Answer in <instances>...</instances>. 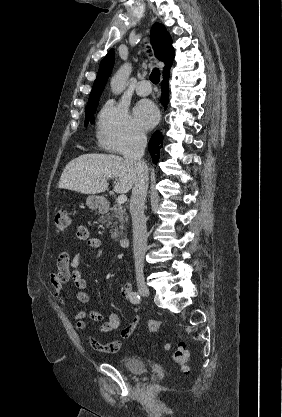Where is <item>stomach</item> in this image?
Instances as JSON below:
<instances>
[{"label":"stomach","mask_w":282,"mask_h":417,"mask_svg":"<svg viewBox=\"0 0 282 417\" xmlns=\"http://www.w3.org/2000/svg\"><path fill=\"white\" fill-rule=\"evenodd\" d=\"M106 202L105 196H98V194H90L86 198V204L89 206V209L95 211V209H100V206Z\"/></svg>","instance_id":"obj_1"}]
</instances>
